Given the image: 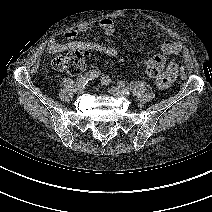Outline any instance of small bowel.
<instances>
[{"mask_svg":"<svg viewBox=\"0 0 212 212\" xmlns=\"http://www.w3.org/2000/svg\"><path fill=\"white\" fill-rule=\"evenodd\" d=\"M98 26L102 30L103 34L107 37H110L115 33V25L113 21L108 18L101 19L98 23ZM92 28L93 26L91 24L83 23L79 25L76 29L68 30L64 33V37L65 39H67V42L62 43L56 41L55 39H51L47 44L46 51L50 54H56L68 50H91L100 52L110 58L117 57L119 52L114 47L95 42L76 40L80 33L88 32ZM161 50L165 55H177L182 51V45L179 41L166 40L162 43ZM151 62L160 64L163 69H165V77L162 81H158V85L162 89H167L177 76V63L174 61L166 63L164 57L160 55L148 58L143 63L144 65H147Z\"/></svg>","mask_w":212,"mask_h":212,"instance_id":"obj_1","label":"small bowel"}]
</instances>
